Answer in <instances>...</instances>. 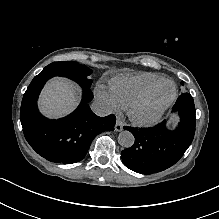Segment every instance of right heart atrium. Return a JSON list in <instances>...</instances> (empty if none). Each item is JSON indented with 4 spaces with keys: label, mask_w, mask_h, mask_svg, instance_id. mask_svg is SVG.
I'll use <instances>...</instances> for the list:
<instances>
[{
    "label": "right heart atrium",
    "mask_w": 219,
    "mask_h": 219,
    "mask_svg": "<svg viewBox=\"0 0 219 219\" xmlns=\"http://www.w3.org/2000/svg\"><path fill=\"white\" fill-rule=\"evenodd\" d=\"M95 95L104 104L107 111L116 112L119 110L118 103L107 91L97 87Z\"/></svg>",
    "instance_id": "1"
}]
</instances>
